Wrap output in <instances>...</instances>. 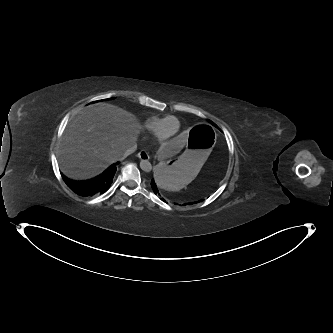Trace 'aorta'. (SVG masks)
<instances>
[{
	"label": "aorta",
	"mask_w": 333,
	"mask_h": 333,
	"mask_svg": "<svg viewBox=\"0 0 333 333\" xmlns=\"http://www.w3.org/2000/svg\"><path fill=\"white\" fill-rule=\"evenodd\" d=\"M140 168L145 172H150L152 170V165L147 160H141L140 162Z\"/></svg>",
	"instance_id": "aorta-1"
}]
</instances>
